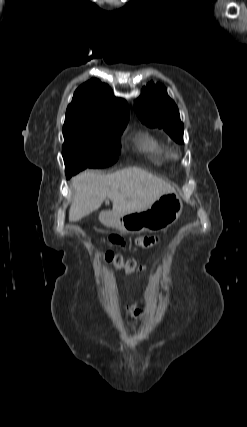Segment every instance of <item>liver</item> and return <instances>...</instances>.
Masks as SVG:
<instances>
[{
	"label": "liver",
	"mask_w": 247,
	"mask_h": 427,
	"mask_svg": "<svg viewBox=\"0 0 247 427\" xmlns=\"http://www.w3.org/2000/svg\"><path fill=\"white\" fill-rule=\"evenodd\" d=\"M71 181L70 221H79L99 209L106 198L112 201L113 212L124 215L145 210L163 194L174 191L169 183L138 167L107 175L85 170Z\"/></svg>",
	"instance_id": "liver-1"
}]
</instances>
